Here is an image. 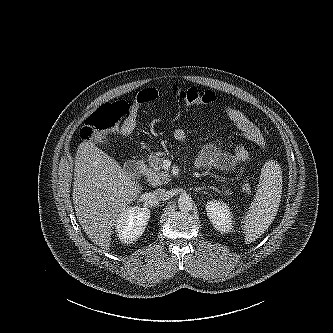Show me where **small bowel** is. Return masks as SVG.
I'll return each mask as SVG.
<instances>
[{
	"label": "small bowel",
	"mask_w": 333,
	"mask_h": 333,
	"mask_svg": "<svg viewBox=\"0 0 333 333\" xmlns=\"http://www.w3.org/2000/svg\"><path fill=\"white\" fill-rule=\"evenodd\" d=\"M223 112L234 126L237 134L260 148L265 147V138L259 128L242 111L225 105ZM173 136L178 141H185L188 132L184 128H176ZM250 159V154L242 145H236L233 152L223 151L214 144L204 145L197 153L195 164L198 168L215 167L222 171H231L238 164Z\"/></svg>",
	"instance_id": "1"
}]
</instances>
